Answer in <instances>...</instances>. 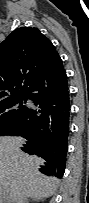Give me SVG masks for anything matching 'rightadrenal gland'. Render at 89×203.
I'll return each mask as SVG.
<instances>
[{
    "label": "right adrenal gland",
    "instance_id": "obj_1",
    "mask_svg": "<svg viewBox=\"0 0 89 203\" xmlns=\"http://www.w3.org/2000/svg\"><path fill=\"white\" fill-rule=\"evenodd\" d=\"M35 200H36V199H34V198H31V199H28V198H27V199L25 200V203H29V201H35ZM36 201H37V200H36Z\"/></svg>",
    "mask_w": 89,
    "mask_h": 203
}]
</instances>
